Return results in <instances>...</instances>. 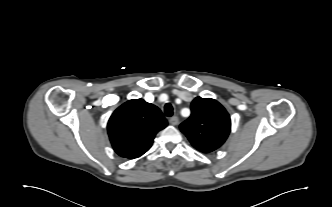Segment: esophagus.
<instances>
[{
  "label": "esophagus",
  "instance_id": "esophagus-1",
  "mask_svg": "<svg viewBox=\"0 0 332 207\" xmlns=\"http://www.w3.org/2000/svg\"><path fill=\"white\" fill-rule=\"evenodd\" d=\"M169 123H170L171 125H177V124L179 123V119H178V117H177V116H173V117H171V118L169 119Z\"/></svg>",
  "mask_w": 332,
  "mask_h": 207
}]
</instances>
